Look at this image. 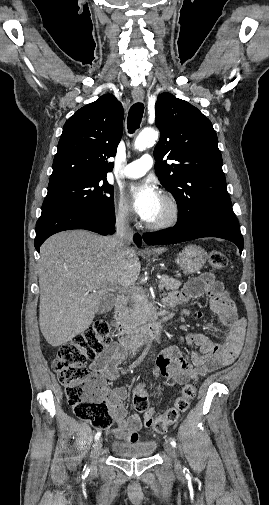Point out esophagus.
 Segmentation results:
<instances>
[{
	"label": "esophagus",
	"instance_id": "esophagus-1",
	"mask_svg": "<svg viewBox=\"0 0 269 505\" xmlns=\"http://www.w3.org/2000/svg\"><path fill=\"white\" fill-rule=\"evenodd\" d=\"M132 97H133V99H134L135 102H142L144 100V97H145L144 90H142V89H134L132 91Z\"/></svg>",
	"mask_w": 269,
	"mask_h": 505
}]
</instances>
